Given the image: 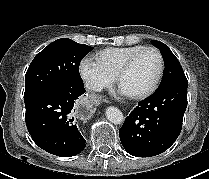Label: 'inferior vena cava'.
Segmentation results:
<instances>
[{
  "label": "inferior vena cava",
  "mask_w": 209,
  "mask_h": 179,
  "mask_svg": "<svg viewBox=\"0 0 209 179\" xmlns=\"http://www.w3.org/2000/svg\"><path fill=\"white\" fill-rule=\"evenodd\" d=\"M86 88L94 90V91H100L101 87L94 83H86Z\"/></svg>",
  "instance_id": "inferior-vena-cava-1"
}]
</instances>
